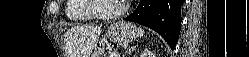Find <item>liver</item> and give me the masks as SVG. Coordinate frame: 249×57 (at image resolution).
I'll return each instance as SVG.
<instances>
[{
    "label": "liver",
    "mask_w": 249,
    "mask_h": 57,
    "mask_svg": "<svg viewBox=\"0 0 249 57\" xmlns=\"http://www.w3.org/2000/svg\"><path fill=\"white\" fill-rule=\"evenodd\" d=\"M100 32V26H81L68 30L66 40L69 43V49L73 51L72 57H90Z\"/></svg>",
    "instance_id": "1"
}]
</instances>
